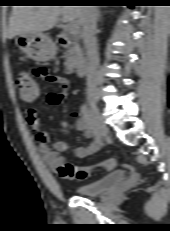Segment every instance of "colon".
Instances as JSON below:
<instances>
[{"mask_svg":"<svg viewBox=\"0 0 170 231\" xmlns=\"http://www.w3.org/2000/svg\"><path fill=\"white\" fill-rule=\"evenodd\" d=\"M15 85L20 98L25 102H33L39 95L37 81L27 72H20L15 80ZM113 158L106 159L93 167H82L71 163H62L57 168L60 177L69 180H84L92 173L98 171H109L115 167Z\"/></svg>","mask_w":170,"mask_h":231,"instance_id":"1","label":"colon"}]
</instances>
